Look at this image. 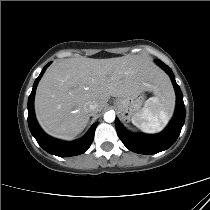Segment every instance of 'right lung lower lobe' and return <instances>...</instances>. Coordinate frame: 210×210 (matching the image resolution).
Listing matches in <instances>:
<instances>
[{"mask_svg":"<svg viewBox=\"0 0 210 210\" xmlns=\"http://www.w3.org/2000/svg\"><path fill=\"white\" fill-rule=\"evenodd\" d=\"M48 63L43 70L41 71L38 78L35 80L32 92L28 99V125L32 135L35 137L38 144L48 153L59 156V157H69L75 156L84 153L90 147L93 138L94 132L98 122L94 123L88 133L79 140L72 141V142H64L57 139H53L46 135L41 128L38 126L35 115H34V96L37 84L41 79L43 73L45 72L46 68L49 66Z\"/></svg>","mask_w":210,"mask_h":210,"instance_id":"right-lung-lower-lobe-1","label":"right lung lower lobe"}]
</instances>
